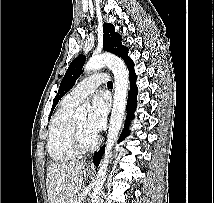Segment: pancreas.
<instances>
[{"label":"pancreas","instance_id":"pancreas-1","mask_svg":"<svg viewBox=\"0 0 214 203\" xmlns=\"http://www.w3.org/2000/svg\"><path fill=\"white\" fill-rule=\"evenodd\" d=\"M67 203H78V198L74 196Z\"/></svg>","mask_w":214,"mask_h":203}]
</instances>
